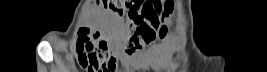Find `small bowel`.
Wrapping results in <instances>:
<instances>
[{
    "label": "small bowel",
    "mask_w": 267,
    "mask_h": 72,
    "mask_svg": "<svg viewBox=\"0 0 267 72\" xmlns=\"http://www.w3.org/2000/svg\"><path fill=\"white\" fill-rule=\"evenodd\" d=\"M166 24L170 23V20L165 21ZM84 32L89 36L90 43L93 46H96L97 43L102 39V34L96 32L93 29L86 28ZM164 45V46H163ZM153 44L149 49L136 53V54H125L123 51L117 49L114 53H112L107 48V58L106 63L116 66L119 61L123 62L127 66H132L135 68L141 69H154L158 68L167 62L173 54V51L177 48V44L170 42L168 40H164V44ZM76 53L81 65L87 69L89 72H93V70L88 67L86 63L82 60V55L79 51V43L76 44Z\"/></svg>",
    "instance_id": "small-bowel-1"
}]
</instances>
